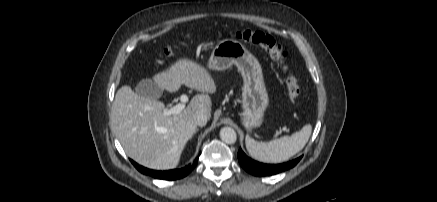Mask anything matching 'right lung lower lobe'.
<instances>
[{"label":"right lung lower lobe","instance_id":"1","mask_svg":"<svg viewBox=\"0 0 437 202\" xmlns=\"http://www.w3.org/2000/svg\"><path fill=\"white\" fill-rule=\"evenodd\" d=\"M196 158L192 164H189L188 166L181 168V169H174V170H168V171H156V170H150L148 168H145L143 166L138 165L136 162L131 160L132 164L143 174L150 175L157 179H165V180H175L180 179L185 176H187L197 165Z\"/></svg>","mask_w":437,"mask_h":202}]
</instances>
